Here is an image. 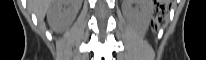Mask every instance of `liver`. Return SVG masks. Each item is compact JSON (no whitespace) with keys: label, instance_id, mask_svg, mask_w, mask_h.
<instances>
[{"label":"liver","instance_id":"1","mask_svg":"<svg viewBox=\"0 0 206 60\" xmlns=\"http://www.w3.org/2000/svg\"><path fill=\"white\" fill-rule=\"evenodd\" d=\"M82 0H28V8L38 20H43L46 12L54 8V16L48 17V23L54 31L61 32L73 21L78 13Z\"/></svg>","mask_w":206,"mask_h":60}]
</instances>
